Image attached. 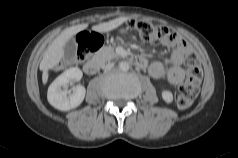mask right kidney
Returning a JSON list of instances; mask_svg holds the SVG:
<instances>
[{"mask_svg": "<svg viewBox=\"0 0 238 158\" xmlns=\"http://www.w3.org/2000/svg\"><path fill=\"white\" fill-rule=\"evenodd\" d=\"M82 76V71L77 67H72L64 71L49 86L47 93L48 102L60 111H69L78 107L84 100L86 93L85 87L78 85L71 90H67L66 86L70 81L81 80Z\"/></svg>", "mask_w": 238, "mask_h": 158, "instance_id": "ca27d5eb", "label": "right kidney"}]
</instances>
